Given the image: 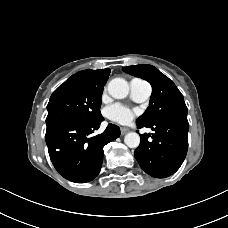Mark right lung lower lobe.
Instances as JSON below:
<instances>
[{
  "label": "right lung lower lobe",
  "mask_w": 228,
  "mask_h": 228,
  "mask_svg": "<svg viewBox=\"0 0 228 228\" xmlns=\"http://www.w3.org/2000/svg\"><path fill=\"white\" fill-rule=\"evenodd\" d=\"M102 116L94 121L61 122L46 130V143L55 169L64 178L85 183L93 180L100 172L103 147L120 136V128L109 124L96 136Z\"/></svg>",
  "instance_id": "right-lung-lower-lobe-1"
}]
</instances>
